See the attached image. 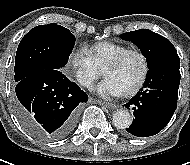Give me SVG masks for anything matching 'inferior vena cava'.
I'll list each match as a JSON object with an SVG mask.
<instances>
[{"label": "inferior vena cava", "instance_id": "602c4592", "mask_svg": "<svg viewBox=\"0 0 190 165\" xmlns=\"http://www.w3.org/2000/svg\"><path fill=\"white\" fill-rule=\"evenodd\" d=\"M79 81H80V83H81L83 86H88V85H89V81H88L87 79L80 78Z\"/></svg>", "mask_w": 190, "mask_h": 165}]
</instances>
